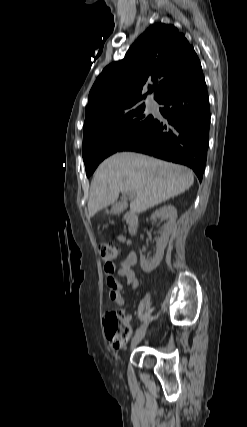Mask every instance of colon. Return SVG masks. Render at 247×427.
Returning a JSON list of instances; mask_svg holds the SVG:
<instances>
[{
	"instance_id": "1",
	"label": "colon",
	"mask_w": 247,
	"mask_h": 427,
	"mask_svg": "<svg viewBox=\"0 0 247 427\" xmlns=\"http://www.w3.org/2000/svg\"><path fill=\"white\" fill-rule=\"evenodd\" d=\"M99 252L106 263H112L119 256L121 249L117 244L109 242L102 244ZM103 322L106 337L112 346L115 349L123 348L131 336V327L123 313L119 310L108 311Z\"/></svg>"
}]
</instances>
